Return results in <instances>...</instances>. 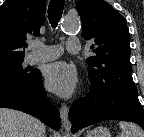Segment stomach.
<instances>
[{"mask_svg":"<svg viewBox=\"0 0 144 137\" xmlns=\"http://www.w3.org/2000/svg\"><path fill=\"white\" fill-rule=\"evenodd\" d=\"M88 137H111V133L107 128L99 126L90 131Z\"/></svg>","mask_w":144,"mask_h":137,"instance_id":"0dacf381","label":"stomach"}]
</instances>
